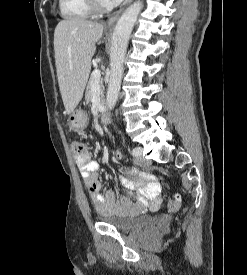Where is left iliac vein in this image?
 Here are the masks:
<instances>
[{"label":"left iliac vein","instance_id":"1","mask_svg":"<svg viewBox=\"0 0 247 275\" xmlns=\"http://www.w3.org/2000/svg\"><path fill=\"white\" fill-rule=\"evenodd\" d=\"M135 149L137 150V155H136L137 165H139L141 167L149 166L150 162L142 156V148L141 147H136Z\"/></svg>","mask_w":247,"mask_h":275}]
</instances>
